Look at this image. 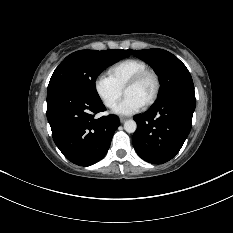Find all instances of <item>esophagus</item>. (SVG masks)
I'll use <instances>...</instances> for the list:
<instances>
[{
    "mask_svg": "<svg viewBox=\"0 0 233 233\" xmlns=\"http://www.w3.org/2000/svg\"><path fill=\"white\" fill-rule=\"evenodd\" d=\"M119 120H120L121 123H123V122H125L127 120V118L126 117H120Z\"/></svg>",
    "mask_w": 233,
    "mask_h": 233,
    "instance_id": "esophagus-1",
    "label": "esophagus"
}]
</instances>
